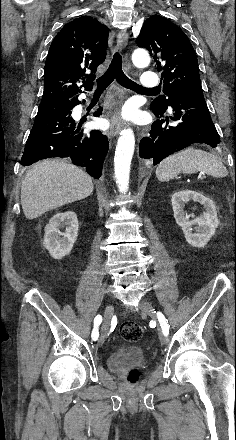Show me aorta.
Wrapping results in <instances>:
<instances>
[{
	"instance_id": "1",
	"label": "aorta",
	"mask_w": 236,
	"mask_h": 440,
	"mask_svg": "<svg viewBox=\"0 0 236 440\" xmlns=\"http://www.w3.org/2000/svg\"><path fill=\"white\" fill-rule=\"evenodd\" d=\"M132 62L137 68H145L150 63V57L145 49H135ZM135 148L134 132L131 128L124 129L118 139L114 157V171L118 189L126 193L129 189V175Z\"/></svg>"
}]
</instances>
